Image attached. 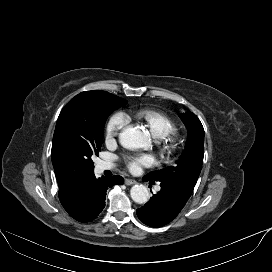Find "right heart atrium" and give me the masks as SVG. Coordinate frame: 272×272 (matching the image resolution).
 Wrapping results in <instances>:
<instances>
[{"label":"right heart atrium","instance_id":"right-heart-atrium-1","mask_svg":"<svg viewBox=\"0 0 272 272\" xmlns=\"http://www.w3.org/2000/svg\"><path fill=\"white\" fill-rule=\"evenodd\" d=\"M130 122L129 117L121 111L114 113L108 120L105 127V140L107 142L114 141Z\"/></svg>","mask_w":272,"mask_h":272}]
</instances>
